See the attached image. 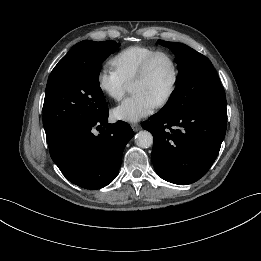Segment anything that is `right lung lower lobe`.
Returning a JSON list of instances; mask_svg holds the SVG:
<instances>
[{
    "mask_svg": "<svg viewBox=\"0 0 261 261\" xmlns=\"http://www.w3.org/2000/svg\"><path fill=\"white\" fill-rule=\"evenodd\" d=\"M107 119L108 113L48 142L52 160L69 181L80 187L100 189L111 183L119 171L123 150L134 135L126 122L109 124ZM95 128L101 134L94 135Z\"/></svg>",
    "mask_w": 261,
    "mask_h": 261,
    "instance_id": "1",
    "label": "right lung lower lobe"
}]
</instances>
